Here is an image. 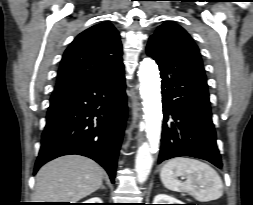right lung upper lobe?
I'll list each match as a JSON object with an SVG mask.
<instances>
[{"mask_svg":"<svg viewBox=\"0 0 253 205\" xmlns=\"http://www.w3.org/2000/svg\"><path fill=\"white\" fill-rule=\"evenodd\" d=\"M123 67L120 35L109 22H102L80 33L66 49L55 90L102 77Z\"/></svg>","mask_w":253,"mask_h":205,"instance_id":"1","label":"right lung upper lobe"}]
</instances>
